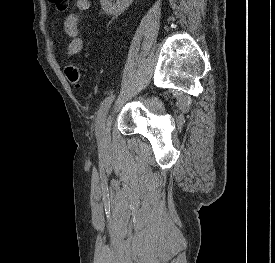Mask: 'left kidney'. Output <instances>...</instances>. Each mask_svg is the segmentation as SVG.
I'll return each mask as SVG.
<instances>
[{"mask_svg": "<svg viewBox=\"0 0 275 263\" xmlns=\"http://www.w3.org/2000/svg\"><path fill=\"white\" fill-rule=\"evenodd\" d=\"M104 12L108 15H119L121 14L133 0H117L116 3L112 0H100Z\"/></svg>", "mask_w": 275, "mask_h": 263, "instance_id": "left-kidney-1", "label": "left kidney"}]
</instances>
